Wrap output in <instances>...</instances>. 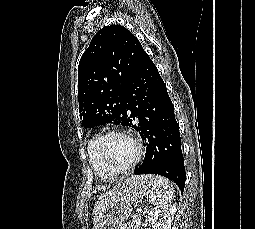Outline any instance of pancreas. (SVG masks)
<instances>
[{"label": "pancreas", "mask_w": 255, "mask_h": 229, "mask_svg": "<svg viewBox=\"0 0 255 229\" xmlns=\"http://www.w3.org/2000/svg\"><path fill=\"white\" fill-rule=\"evenodd\" d=\"M141 216L137 215L133 218L132 222H128L120 225V229H140Z\"/></svg>", "instance_id": "1"}]
</instances>
